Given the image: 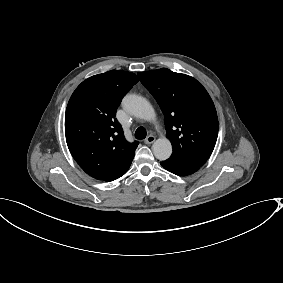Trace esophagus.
I'll list each match as a JSON object with an SVG mask.
<instances>
[{
	"instance_id": "1",
	"label": "esophagus",
	"mask_w": 283,
	"mask_h": 283,
	"mask_svg": "<svg viewBox=\"0 0 283 283\" xmlns=\"http://www.w3.org/2000/svg\"><path fill=\"white\" fill-rule=\"evenodd\" d=\"M155 141V137L153 135H149L145 140L144 143L145 144H151Z\"/></svg>"
}]
</instances>
